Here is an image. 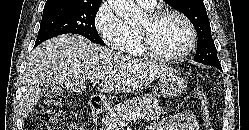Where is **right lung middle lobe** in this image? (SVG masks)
<instances>
[{"label":"right lung middle lobe","instance_id":"obj_1","mask_svg":"<svg viewBox=\"0 0 249 130\" xmlns=\"http://www.w3.org/2000/svg\"><path fill=\"white\" fill-rule=\"evenodd\" d=\"M100 4L64 0L45 5L35 46L67 33L80 34L93 43L104 45L95 28V16Z\"/></svg>","mask_w":249,"mask_h":130}]
</instances>
